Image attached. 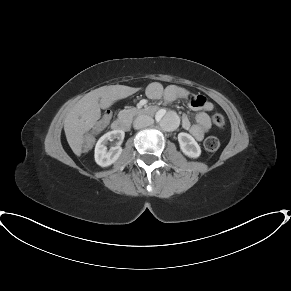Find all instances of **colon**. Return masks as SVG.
<instances>
[{"label": "colon", "instance_id": "5ec220e1", "mask_svg": "<svg viewBox=\"0 0 291 291\" xmlns=\"http://www.w3.org/2000/svg\"><path fill=\"white\" fill-rule=\"evenodd\" d=\"M110 120H111V113L110 112L104 113L103 119H102V124L106 125L110 122ZM212 123L217 127H223L225 124V118L222 114L216 113L212 116ZM219 146H220V142H219L218 138L215 136H210V137L206 138V140L204 142V147L209 152L217 151ZM88 150H89L88 144L87 143L83 144L81 151L83 153H87Z\"/></svg>", "mask_w": 291, "mask_h": 291}]
</instances>
